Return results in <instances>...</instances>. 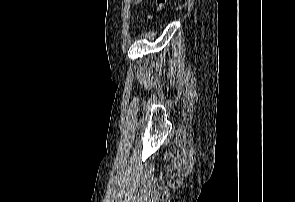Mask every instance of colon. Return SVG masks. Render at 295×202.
<instances>
[{"label": "colon", "mask_w": 295, "mask_h": 202, "mask_svg": "<svg viewBox=\"0 0 295 202\" xmlns=\"http://www.w3.org/2000/svg\"><path fill=\"white\" fill-rule=\"evenodd\" d=\"M167 1L168 0H154L156 12L160 11L165 6Z\"/></svg>", "instance_id": "5ec220e1"}]
</instances>
